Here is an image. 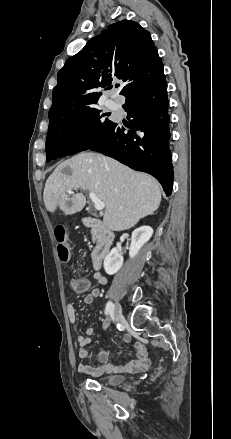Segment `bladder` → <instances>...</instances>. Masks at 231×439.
<instances>
[{"label":"bladder","mask_w":231,"mask_h":439,"mask_svg":"<svg viewBox=\"0 0 231 439\" xmlns=\"http://www.w3.org/2000/svg\"><path fill=\"white\" fill-rule=\"evenodd\" d=\"M125 377L123 375H117V374H112V375H107L104 376L102 378H100V381L107 384V385H119L122 382H124Z\"/></svg>","instance_id":"31cf9c89"}]
</instances>
